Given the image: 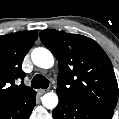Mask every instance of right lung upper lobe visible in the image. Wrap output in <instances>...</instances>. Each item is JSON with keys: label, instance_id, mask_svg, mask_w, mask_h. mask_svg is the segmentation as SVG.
Instances as JSON below:
<instances>
[{"label": "right lung upper lobe", "instance_id": "obj_1", "mask_svg": "<svg viewBox=\"0 0 119 119\" xmlns=\"http://www.w3.org/2000/svg\"><path fill=\"white\" fill-rule=\"evenodd\" d=\"M38 37L36 31L0 36V105L22 99L34 92L23 83L22 62ZM21 81L19 85L16 82Z\"/></svg>", "mask_w": 119, "mask_h": 119}]
</instances>
